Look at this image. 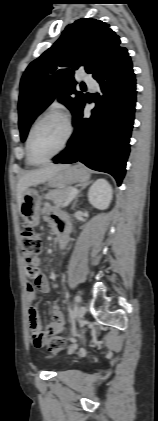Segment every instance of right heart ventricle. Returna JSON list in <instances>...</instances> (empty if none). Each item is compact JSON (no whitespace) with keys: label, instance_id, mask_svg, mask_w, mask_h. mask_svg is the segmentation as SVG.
<instances>
[{"label":"right heart ventricle","instance_id":"1","mask_svg":"<svg viewBox=\"0 0 158 421\" xmlns=\"http://www.w3.org/2000/svg\"><path fill=\"white\" fill-rule=\"evenodd\" d=\"M27 162H28L29 164H31V163H30V161L28 160V158H27Z\"/></svg>","mask_w":158,"mask_h":421}]
</instances>
